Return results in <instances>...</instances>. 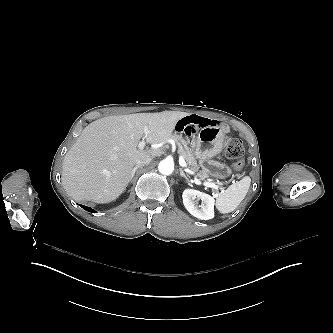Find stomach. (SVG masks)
<instances>
[{
	"label": "stomach",
	"mask_w": 333,
	"mask_h": 333,
	"mask_svg": "<svg viewBox=\"0 0 333 333\" xmlns=\"http://www.w3.org/2000/svg\"><path fill=\"white\" fill-rule=\"evenodd\" d=\"M192 153L199 160L200 166L209 176L226 179L232 175V169L224 163L212 160L224 148V137L220 127L207 126L192 139Z\"/></svg>",
	"instance_id": "stomach-1"
}]
</instances>
